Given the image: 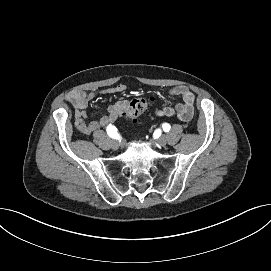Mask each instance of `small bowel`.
Wrapping results in <instances>:
<instances>
[{
	"instance_id": "small-bowel-1",
	"label": "small bowel",
	"mask_w": 271,
	"mask_h": 271,
	"mask_svg": "<svg viewBox=\"0 0 271 271\" xmlns=\"http://www.w3.org/2000/svg\"><path fill=\"white\" fill-rule=\"evenodd\" d=\"M126 86L118 84L114 87L107 88L101 93L106 95L124 92ZM170 94L179 97L181 101L174 106H165L155 110L158 117H177L181 121H189L194 114V94L186 86H176L170 90ZM96 96L93 92L83 90H72L67 95V100L72 104L75 111V128L84 135L96 133L101 128L113 123L118 117L122 116L127 106V101L119 100L112 104L108 113L103 115L99 120H87L86 108L88 103Z\"/></svg>"
}]
</instances>
